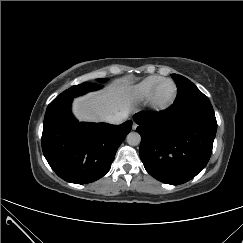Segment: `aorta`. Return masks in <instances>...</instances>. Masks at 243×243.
I'll use <instances>...</instances> for the list:
<instances>
[{"label": "aorta", "instance_id": "obj_1", "mask_svg": "<svg viewBox=\"0 0 243 243\" xmlns=\"http://www.w3.org/2000/svg\"><path fill=\"white\" fill-rule=\"evenodd\" d=\"M127 143L131 146H137L141 141V136L137 132H130L127 135Z\"/></svg>", "mask_w": 243, "mask_h": 243}]
</instances>
